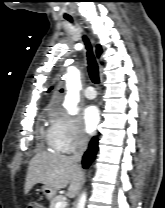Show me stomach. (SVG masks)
Segmentation results:
<instances>
[{
	"mask_svg": "<svg viewBox=\"0 0 165 208\" xmlns=\"http://www.w3.org/2000/svg\"><path fill=\"white\" fill-rule=\"evenodd\" d=\"M42 191L44 195L46 196V198L49 200L53 199L57 192L55 189L48 187V186H43Z\"/></svg>",
	"mask_w": 165,
	"mask_h": 208,
	"instance_id": "1",
	"label": "stomach"
}]
</instances>
